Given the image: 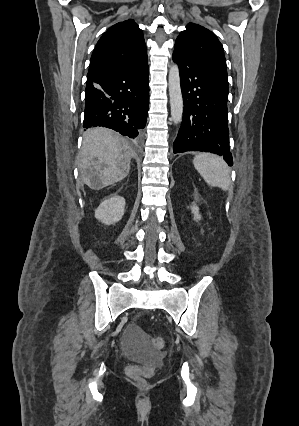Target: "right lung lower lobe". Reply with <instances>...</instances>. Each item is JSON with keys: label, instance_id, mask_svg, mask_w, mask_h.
I'll use <instances>...</instances> for the list:
<instances>
[{"label": "right lung lower lobe", "instance_id": "1", "mask_svg": "<svg viewBox=\"0 0 299 426\" xmlns=\"http://www.w3.org/2000/svg\"><path fill=\"white\" fill-rule=\"evenodd\" d=\"M147 62L139 67L88 77L83 127L103 126L140 137L149 105Z\"/></svg>", "mask_w": 299, "mask_h": 426}]
</instances>
